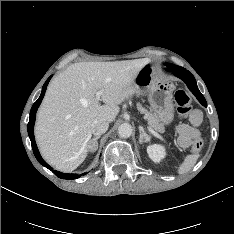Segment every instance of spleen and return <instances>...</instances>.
Returning a JSON list of instances; mask_svg holds the SVG:
<instances>
[{
	"instance_id": "1",
	"label": "spleen",
	"mask_w": 234,
	"mask_h": 234,
	"mask_svg": "<svg viewBox=\"0 0 234 234\" xmlns=\"http://www.w3.org/2000/svg\"><path fill=\"white\" fill-rule=\"evenodd\" d=\"M198 159V155L192 154V155H187L183 161V163L180 165L178 169L179 174H184L191 170V168L196 164Z\"/></svg>"
}]
</instances>
